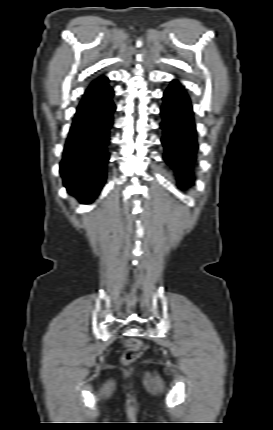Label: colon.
Returning a JSON list of instances; mask_svg holds the SVG:
<instances>
[{
	"instance_id": "colon-1",
	"label": "colon",
	"mask_w": 273,
	"mask_h": 430,
	"mask_svg": "<svg viewBox=\"0 0 273 430\" xmlns=\"http://www.w3.org/2000/svg\"><path fill=\"white\" fill-rule=\"evenodd\" d=\"M145 346L142 340L138 338H129L126 341V350L122 355L125 364H130L138 359L144 352Z\"/></svg>"
}]
</instances>
